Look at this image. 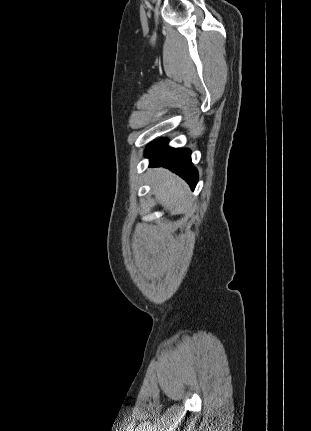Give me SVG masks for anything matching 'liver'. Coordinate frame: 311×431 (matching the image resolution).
I'll return each instance as SVG.
<instances>
[{"mask_svg":"<svg viewBox=\"0 0 311 431\" xmlns=\"http://www.w3.org/2000/svg\"><path fill=\"white\" fill-rule=\"evenodd\" d=\"M151 184L154 186V194L168 210L181 212L182 204H185L187 186L174 174H170L168 170H152Z\"/></svg>","mask_w":311,"mask_h":431,"instance_id":"1","label":"liver"}]
</instances>
